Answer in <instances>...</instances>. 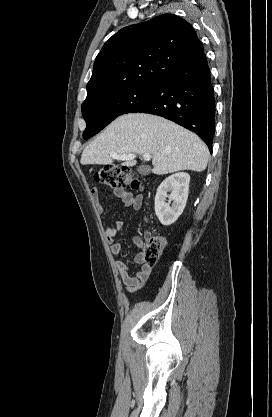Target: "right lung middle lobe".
Masks as SVG:
<instances>
[{"mask_svg":"<svg viewBox=\"0 0 272 417\" xmlns=\"http://www.w3.org/2000/svg\"><path fill=\"white\" fill-rule=\"evenodd\" d=\"M159 84L139 85L122 89L82 105L86 121L85 139L95 135L120 115L130 113L146 102Z\"/></svg>","mask_w":272,"mask_h":417,"instance_id":"1","label":"right lung middle lobe"}]
</instances>
